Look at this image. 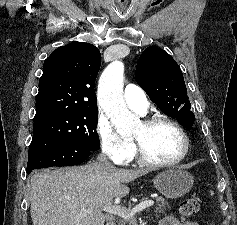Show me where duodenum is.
Wrapping results in <instances>:
<instances>
[{"instance_id":"1","label":"duodenum","mask_w":237,"mask_h":225,"mask_svg":"<svg viewBox=\"0 0 237 225\" xmlns=\"http://www.w3.org/2000/svg\"><path fill=\"white\" fill-rule=\"evenodd\" d=\"M108 225H116L115 222H110Z\"/></svg>"}]
</instances>
